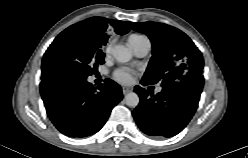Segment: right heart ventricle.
<instances>
[{
	"mask_svg": "<svg viewBox=\"0 0 248 158\" xmlns=\"http://www.w3.org/2000/svg\"><path fill=\"white\" fill-rule=\"evenodd\" d=\"M144 37L143 35H139V34H132L130 37H129V44L133 41H136L140 38Z\"/></svg>",
	"mask_w": 248,
	"mask_h": 158,
	"instance_id": "1",
	"label": "right heart ventricle"
}]
</instances>
